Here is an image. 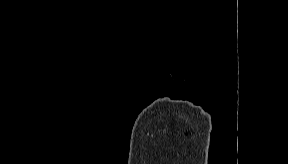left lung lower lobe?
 Wrapping results in <instances>:
<instances>
[{
    "label": "left lung lower lobe",
    "instance_id": "obj_1",
    "mask_svg": "<svg viewBox=\"0 0 288 164\" xmlns=\"http://www.w3.org/2000/svg\"><path fill=\"white\" fill-rule=\"evenodd\" d=\"M224 80H225L224 77L221 75H214V74L209 75L208 74V75H203L200 78L199 84L203 90H207L209 89L210 85H212L213 87L220 86L221 84H223Z\"/></svg>",
    "mask_w": 288,
    "mask_h": 164
}]
</instances>
